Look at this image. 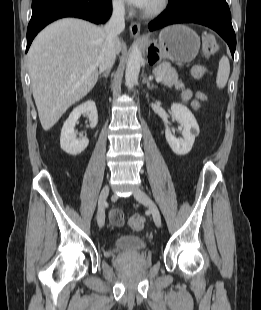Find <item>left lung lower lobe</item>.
<instances>
[{"instance_id": "0a47b994", "label": "left lung lower lobe", "mask_w": 261, "mask_h": 310, "mask_svg": "<svg viewBox=\"0 0 261 310\" xmlns=\"http://www.w3.org/2000/svg\"><path fill=\"white\" fill-rule=\"evenodd\" d=\"M175 23H197L215 30L234 57L236 36L226 0H169L167 9L149 24L151 31Z\"/></svg>"}]
</instances>
